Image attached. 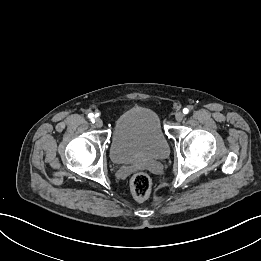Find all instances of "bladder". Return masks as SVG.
Returning a JSON list of instances; mask_svg holds the SVG:
<instances>
[{"instance_id":"1","label":"bladder","mask_w":261,"mask_h":261,"mask_svg":"<svg viewBox=\"0 0 261 261\" xmlns=\"http://www.w3.org/2000/svg\"><path fill=\"white\" fill-rule=\"evenodd\" d=\"M169 151L168 138L155 111L134 107L115 121L109 147L113 163L160 159L166 157Z\"/></svg>"}]
</instances>
